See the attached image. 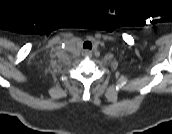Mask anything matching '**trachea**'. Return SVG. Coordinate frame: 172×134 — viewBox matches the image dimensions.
<instances>
[{
	"label": "trachea",
	"mask_w": 172,
	"mask_h": 134,
	"mask_svg": "<svg viewBox=\"0 0 172 134\" xmlns=\"http://www.w3.org/2000/svg\"><path fill=\"white\" fill-rule=\"evenodd\" d=\"M83 48L91 50L92 49V43L90 41H85L83 43Z\"/></svg>",
	"instance_id": "trachea-1"
}]
</instances>
